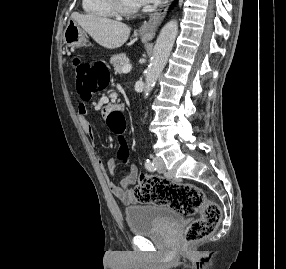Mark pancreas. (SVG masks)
Here are the masks:
<instances>
[{"label":"pancreas","instance_id":"obj_1","mask_svg":"<svg viewBox=\"0 0 286 269\" xmlns=\"http://www.w3.org/2000/svg\"><path fill=\"white\" fill-rule=\"evenodd\" d=\"M110 63L113 65L115 73H122V69L127 65L128 58L124 53L114 55L110 59Z\"/></svg>","mask_w":286,"mask_h":269}]
</instances>
